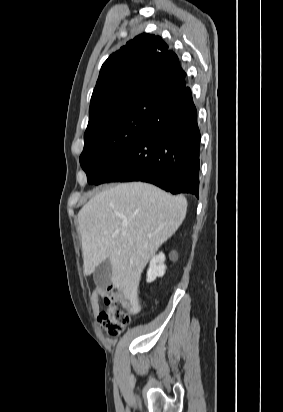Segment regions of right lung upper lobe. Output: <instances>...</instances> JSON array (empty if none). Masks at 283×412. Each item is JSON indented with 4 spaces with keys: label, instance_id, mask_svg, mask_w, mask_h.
Returning <instances> with one entry per match:
<instances>
[{
    "label": "right lung upper lobe",
    "instance_id": "cb5924a9",
    "mask_svg": "<svg viewBox=\"0 0 283 412\" xmlns=\"http://www.w3.org/2000/svg\"><path fill=\"white\" fill-rule=\"evenodd\" d=\"M185 75L178 57L159 36L135 37L102 65L91 97L86 131L94 123L135 104L164 106L186 86Z\"/></svg>",
    "mask_w": 283,
    "mask_h": 412
}]
</instances>
